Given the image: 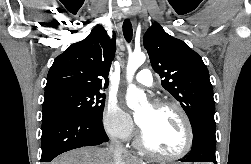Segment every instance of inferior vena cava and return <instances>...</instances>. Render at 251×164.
<instances>
[{
    "instance_id": "1",
    "label": "inferior vena cava",
    "mask_w": 251,
    "mask_h": 164,
    "mask_svg": "<svg viewBox=\"0 0 251 164\" xmlns=\"http://www.w3.org/2000/svg\"><path fill=\"white\" fill-rule=\"evenodd\" d=\"M110 148L114 152V158H115L117 163L122 159L123 156L128 155V151L118 141L113 142L111 144Z\"/></svg>"
}]
</instances>
